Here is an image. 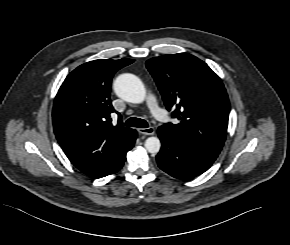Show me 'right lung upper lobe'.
I'll use <instances>...</instances> for the list:
<instances>
[{
  "instance_id": "right-lung-upper-lobe-1",
  "label": "right lung upper lobe",
  "mask_w": 290,
  "mask_h": 245,
  "mask_svg": "<svg viewBox=\"0 0 290 245\" xmlns=\"http://www.w3.org/2000/svg\"><path fill=\"white\" fill-rule=\"evenodd\" d=\"M133 59L94 60L73 70L62 83L53 107V127L63 151L92 178L110 174L125 159L134 129L111 123V81Z\"/></svg>"
}]
</instances>
